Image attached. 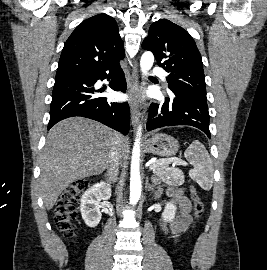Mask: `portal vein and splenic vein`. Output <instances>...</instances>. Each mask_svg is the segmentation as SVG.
<instances>
[{
	"mask_svg": "<svg viewBox=\"0 0 267 270\" xmlns=\"http://www.w3.org/2000/svg\"><path fill=\"white\" fill-rule=\"evenodd\" d=\"M161 163H173V164H178V165H187L185 161H183L180 158H173V159H168V160H161ZM146 167H149V169H152L154 164L152 162H147L145 164Z\"/></svg>",
	"mask_w": 267,
	"mask_h": 270,
	"instance_id": "18ae733b",
	"label": "portal vein and splenic vein"
}]
</instances>
